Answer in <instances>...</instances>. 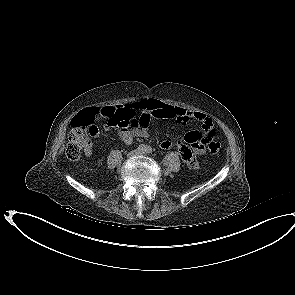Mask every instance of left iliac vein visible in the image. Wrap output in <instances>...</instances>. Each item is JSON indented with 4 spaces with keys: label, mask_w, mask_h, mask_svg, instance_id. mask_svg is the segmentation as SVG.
Returning <instances> with one entry per match:
<instances>
[{
    "label": "left iliac vein",
    "mask_w": 295,
    "mask_h": 295,
    "mask_svg": "<svg viewBox=\"0 0 295 295\" xmlns=\"http://www.w3.org/2000/svg\"><path fill=\"white\" fill-rule=\"evenodd\" d=\"M139 154H144V152L143 151H139Z\"/></svg>",
    "instance_id": "1"
}]
</instances>
